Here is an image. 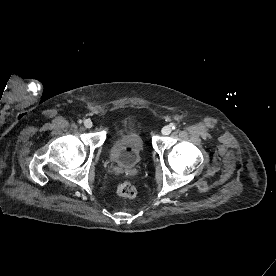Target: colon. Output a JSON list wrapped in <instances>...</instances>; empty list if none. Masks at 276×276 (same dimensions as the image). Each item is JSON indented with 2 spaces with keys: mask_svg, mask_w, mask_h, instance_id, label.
Masks as SVG:
<instances>
[{
  "mask_svg": "<svg viewBox=\"0 0 276 276\" xmlns=\"http://www.w3.org/2000/svg\"><path fill=\"white\" fill-rule=\"evenodd\" d=\"M117 192L124 198H135L137 195L136 187L130 182H122L118 185Z\"/></svg>",
  "mask_w": 276,
  "mask_h": 276,
  "instance_id": "obj_1",
  "label": "colon"
}]
</instances>
